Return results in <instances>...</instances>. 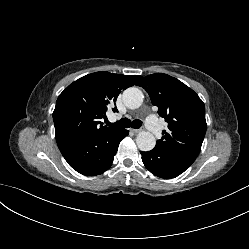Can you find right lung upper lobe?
<instances>
[{
  "mask_svg": "<svg viewBox=\"0 0 249 249\" xmlns=\"http://www.w3.org/2000/svg\"><path fill=\"white\" fill-rule=\"evenodd\" d=\"M142 76L109 72L88 74L70 84L58 97L53 112L56 140L63 137L87 138L118 128L103 126L99 119L116 102L119 93L137 85ZM118 112L116 106L112 109Z\"/></svg>",
  "mask_w": 249,
  "mask_h": 249,
  "instance_id": "right-lung-upper-lobe-1",
  "label": "right lung upper lobe"
}]
</instances>
